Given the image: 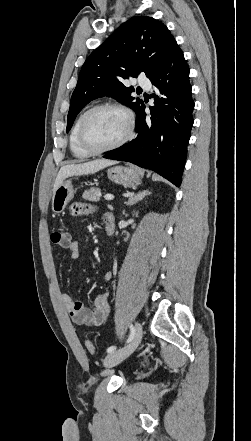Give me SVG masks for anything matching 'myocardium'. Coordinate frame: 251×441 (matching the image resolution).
Masks as SVG:
<instances>
[{"instance_id": "1", "label": "myocardium", "mask_w": 251, "mask_h": 441, "mask_svg": "<svg viewBox=\"0 0 251 441\" xmlns=\"http://www.w3.org/2000/svg\"><path fill=\"white\" fill-rule=\"evenodd\" d=\"M101 109H114V110L121 112L125 116V119H126V132L123 135V137L121 139H119L117 142H115L114 144H111V145L103 147V148H93V147L89 146L85 140V137H84L85 124H86L88 117L92 113H94L95 111L101 110ZM133 133H134V118H133L131 111L128 108H126L118 103L103 102V103H100V104H97V105L91 107L82 115L80 122H79L77 140H78L79 146L85 152L89 153L90 155H99V154L106 153V152L120 148L121 146L126 144L132 138Z\"/></svg>"}]
</instances>
